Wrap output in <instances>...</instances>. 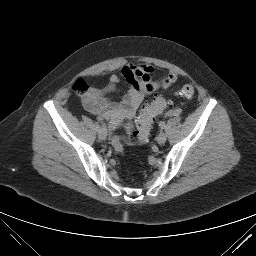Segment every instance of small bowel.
<instances>
[{"instance_id": "obj_1", "label": "small bowel", "mask_w": 256, "mask_h": 256, "mask_svg": "<svg viewBox=\"0 0 256 256\" xmlns=\"http://www.w3.org/2000/svg\"><path fill=\"white\" fill-rule=\"evenodd\" d=\"M178 76L168 73L155 78L153 69L146 64L125 65L119 75H112L108 87L103 90H92L85 98L88 109L107 120L111 128L117 127L122 121L134 117L136 109L145 96L158 89H167L176 82ZM124 80L127 90L122 98L115 102L106 97V94L115 90L116 85ZM172 113V112H170Z\"/></svg>"}]
</instances>
